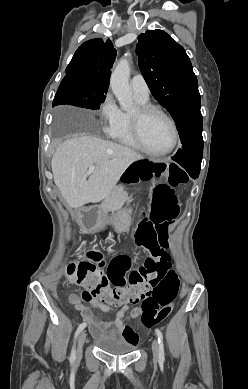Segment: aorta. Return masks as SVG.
Wrapping results in <instances>:
<instances>
[{
	"instance_id": "1",
	"label": "aorta",
	"mask_w": 248,
	"mask_h": 389,
	"mask_svg": "<svg viewBox=\"0 0 248 389\" xmlns=\"http://www.w3.org/2000/svg\"><path fill=\"white\" fill-rule=\"evenodd\" d=\"M129 55V54H127ZM130 64L128 59L122 58L111 74L110 87L123 110L133 107V97L129 86Z\"/></svg>"
}]
</instances>
